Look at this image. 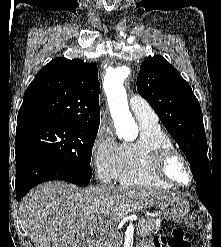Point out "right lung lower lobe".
<instances>
[{
  "instance_id": "1",
  "label": "right lung lower lobe",
  "mask_w": 221,
  "mask_h": 247,
  "mask_svg": "<svg viewBox=\"0 0 221 247\" xmlns=\"http://www.w3.org/2000/svg\"><path fill=\"white\" fill-rule=\"evenodd\" d=\"M16 149V200H20L35 185L63 180L76 185H85L90 178L79 175L47 154L25 145Z\"/></svg>"
}]
</instances>
